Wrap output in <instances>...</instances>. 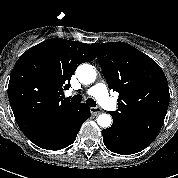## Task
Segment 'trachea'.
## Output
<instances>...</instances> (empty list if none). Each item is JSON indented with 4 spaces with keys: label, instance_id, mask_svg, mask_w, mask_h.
<instances>
[{
    "label": "trachea",
    "instance_id": "1",
    "mask_svg": "<svg viewBox=\"0 0 178 178\" xmlns=\"http://www.w3.org/2000/svg\"><path fill=\"white\" fill-rule=\"evenodd\" d=\"M71 101L73 102H81L82 101V96L81 95H74L72 98H71ZM86 103L88 106L90 107H96V102L92 99V98H88L86 100Z\"/></svg>",
    "mask_w": 178,
    "mask_h": 178
}]
</instances>
